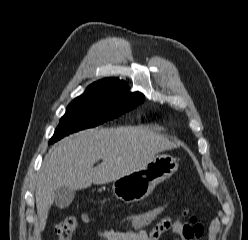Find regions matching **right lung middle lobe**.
I'll return each instance as SVG.
<instances>
[{"mask_svg": "<svg viewBox=\"0 0 248 240\" xmlns=\"http://www.w3.org/2000/svg\"><path fill=\"white\" fill-rule=\"evenodd\" d=\"M143 99L144 96L139 92L128 93L126 84L113 90H86L68 105L49 144L73 132L117 118L136 107Z\"/></svg>", "mask_w": 248, "mask_h": 240, "instance_id": "right-lung-middle-lobe-1", "label": "right lung middle lobe"}]
</instances>
